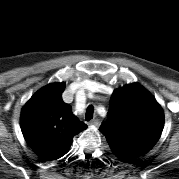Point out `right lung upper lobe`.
I'll return each mask as SVG.
<instances>
[{
  "label": "right lung upper lobe",
  "instance_id": "right-lung-upper-lobe-1",
  "mask_svg": "<svg viewBox=\"0 0 179 179\" xmlns=\"http://www.w3.org/2000/svg\"><path fill=\"white\" fill-rule=\"evenodd\" d=\"M63 88L47 86L35 94L24 110L23 128L37 149H66L75 134L84 128L71 116V107L62 101Z\"/></svg>",
  "mask_w": 179,
  "mask_h": 179
}]
</instances>
